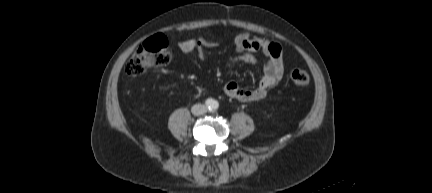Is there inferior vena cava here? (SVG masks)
<instances>
[{"label":"inferior vena cava","mask_w":432,"mask_h":193,"mask_svg":"<svg viewBox=\"0 0 432 193\" xmlns=\"http://www.w3.org/2000/svg\"><path fill=\"white\" fill-rule=\"evenodd\" d=\"M207 111V108L205 105L202 104H195L192 107V113L194 115H200V114H204Z\"/></svg>","instance_id":"602c4592"}]
</instances>
